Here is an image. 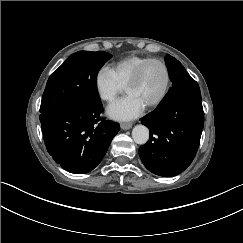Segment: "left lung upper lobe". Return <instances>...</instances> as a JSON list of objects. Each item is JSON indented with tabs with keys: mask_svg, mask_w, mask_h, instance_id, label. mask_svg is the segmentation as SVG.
<instances>
[{
	"mask_svg": "<svg viewBox=\"0 0 243 243\" xmlns=\"http://www.w3.org/2000/svg\"><path fill=\"white\" fill-rule=\"evenodd\" d=\"M165 63L168 68L172 87L162 101L179 91H200L198 83L188 74L177 59L168 54L165 56Z\"/></svg>",
	"mask_w": 243,
	"mask_h": 243,
	"instance_id": "obj_1",
	"label": "left lung upper lobe"
}]
</instances>
